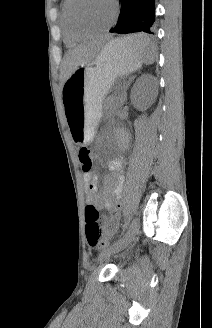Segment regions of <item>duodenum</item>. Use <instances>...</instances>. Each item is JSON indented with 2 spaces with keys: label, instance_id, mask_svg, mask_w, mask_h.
Here are the masks:
<instances>
[{
  "label": "duodenum",
  "instance_id": "410a0bca",
  "mask_svg": "<svg viewBox=\"0 0 212 328\" xmlns=\"http://www.w3.org/2000/svg\"><path fill=\"white\" fill-rule=\"evenodd\" d=\"M117 139H118V141H119L121 144H124V143H125V138H124V136H123L121 133H118V134H117Z\"/></svg>",
  "mask_w": 212,
  "mask_h": 328
}]
</instances>
